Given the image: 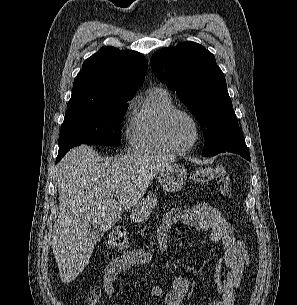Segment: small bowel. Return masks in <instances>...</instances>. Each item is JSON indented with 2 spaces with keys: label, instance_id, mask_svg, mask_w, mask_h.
<instances>
[{
  "label": "small bowel",
  "instance_id": "small-bowel-1",
  "mask_svg": "<svg viewBox=\"0 0 297 305\" xmlns=\"http://www.w3.org/2000/svg\"><path fill=\"white\" fill-rule=\"evenodd\" d=\"M178 223L187 224L198 231H210L212 242H221L224 256L215 264V283L217 298L207 305H234L236 291L248 268L249 256L242 241L233 233L231 224L221 215L220 211L207 203H200L192 207L173 208L169 210L158 229L157 243L162 252L169 248L168 232ZM151 255L142 249L130 250L121 257L110 262L107 266L103 286L91 289L87 298V305H97L103 295L111 296L114 293L115 281L118 275L139 265L148 264ZM189 291L188 281L183 277L176 278L172 289L166 294L164 305H180ZM164 291L155 286L151 289V296L159 300Z\"/></svg>",
  "mask_w": 297,
  "mask_h": 305
}]
</instances>
